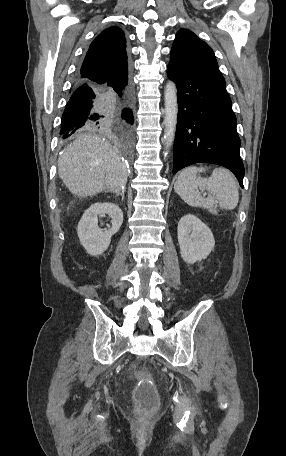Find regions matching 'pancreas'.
Listing matches in <instances>:
<instances>
[{
	"mask_svg": "<svg viewBox=\"0 0 286 456\" xmlns=\"http://www.w3.org/2000/svg\"><path fill=\"white\" fill-rule=\"evenodd\" d=\"M214 215H217V211L213 210L211 211Z\"/></svg>",
	"mask_w": 286,
	"mask_h": 456,
	"instance_id": "obj_1",
	"label": "pancreas"
}]
</instances>
